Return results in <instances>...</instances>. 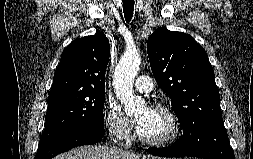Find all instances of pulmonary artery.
<instances>
[{
	"mask_svg": "<svg viewBox=\"0 0 253 159\" xmlns=\"http://www.w3.org/2000/svg\"><path fill=\"white\" fill-rule=\"evenodd\" d=\"M134 86L137 91L145 94L151 92L153 89V84L147 75L138 76L135 80Z\"/></svg>",
	"mask_w": 253,
	"mask_h": 159,
	"instance_id": "1",
	"label": "pulmonary artery"
}]
</instances>
